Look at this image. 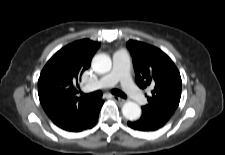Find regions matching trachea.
Segmentation results:
<instances>
[{
	"label": "trachea",
	"mask_w": 225,
	"mask_h": 155,
	"mask_svg": "<svg viewBox=\"0 0 225 155\" xmlns=\"http://www.w3.org/2000/svg\"><path fill=\"white\" fill-rule=\"evenodd\" d=\"M112 93L114 95L120 96L122 98L127 97L122 91H120L118 89H113ZM83 96L86 97V98H100V97H102V92L100 90H98V91H95V92L90 93V94H83Z\"/></svg>",
	"instance_id": "1"
}]
</instances>
